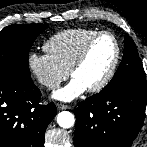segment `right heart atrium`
<instances>
[{
  "label": "right heart atrium",
  "instance_id": "right-heart-atrium-1",
  "mask_svg": "<svg viewBox=\"0 0 147 147\" xmlns=\"http://www.w3.org/2000/svg\"><path fill=\"white\" fill-rule=\"evenodd\" d=\"M27 67L34 80L47 90L57 88L69 74L47 53L30 52Z\"/></svg>",
  "mask_w": 147,
  "mask_h": 147
}]
</instances>
